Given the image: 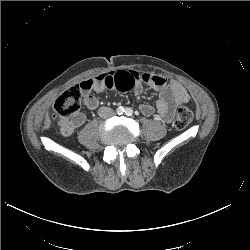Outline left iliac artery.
<instances>
[{
    "label": "left iliac artery",
    "instance_id": "44dca946",
    "mask_svg": "<svg viewBox=\"0 0 250 250\" xmlns=\"http://www.w3.org/2000/svg\"><path fill=\"white\" fill-rule=\"evenodd\" d=\"M124 112H125V114L127 116H132L133 115V110L131 108H126Z\"/></svg>",
    "mask_w": 250,
    "mask_h": 250
}]
</instances>
